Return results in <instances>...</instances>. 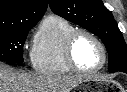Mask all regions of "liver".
Segmentation results:
<instances>
[{
  "label": "liver",
  "instance_id": "1",
  "mask_svg": "<svg viewBox=\"0 0 127 92\" xmlns=\"http://www.w3.org/2000/svg\"><path fill=\"white\" fill-rule=\"evenodd\" d=\"M86 77L29 75L0 63V92H70Z\"/></svg>",
  "mask_w": 127,
  "mask_h": 92
}]
</instances>
